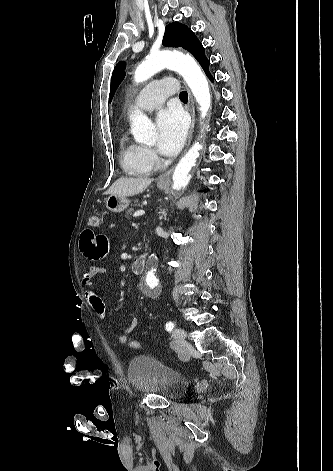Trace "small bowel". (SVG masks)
Returning <instances> with one entry per match:
<instances>
[{
    "label": "small bowel",
    "instance_id": "c3829d8e",
    "mask_svg": "<svg viewBox=\"0 0 333 471\" xmlns=\"http://www.w3.org/2000/svg\"><path fill=\"white\" fill-rule=\"evenodd\" d=\"M80 250L86 259L93 262L86 269L82 279L85 287H92L97 278L107 273L105 268L95 263L108 250L107 238L103 235H96L91 229H86L81 235ZM85 294L89 306L100 320L105 321L107 319V309L103 300L91 289H87ZM139 325L140 320L137 317H133L125 328L124 333L118 336V342L123 345L127 344L129 342L128 335L133 333Z\"/></svg>",
    "mask_w": 333,
    "mask_h": 471
}]
</instances>
